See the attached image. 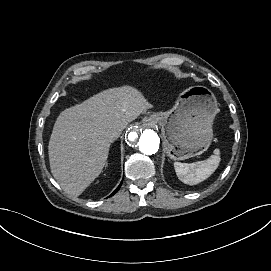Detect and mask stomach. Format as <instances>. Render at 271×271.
I'll return each instance as SVG.
<instances>
[{"instance_id":"stomach-1","label":"stomach","mask_w":271,"mask_h":271,"mask_svg":"<svg viewBox=\"0 0 271 271\" xmlns=\"http://www.w3.org/2000/svg\"><path fill=\"white\" fill-rule=\"evenodd\" d=\"M217 113L213 92L204 86H194L179 95L172 109L154 112L145 121L161 126L163 149L167 156L173 160H184L209 148Z\"/></svg>"}]
</instances>
